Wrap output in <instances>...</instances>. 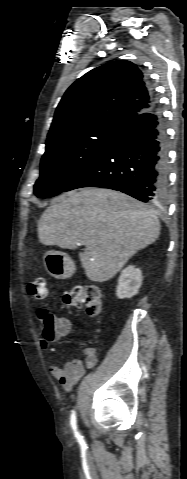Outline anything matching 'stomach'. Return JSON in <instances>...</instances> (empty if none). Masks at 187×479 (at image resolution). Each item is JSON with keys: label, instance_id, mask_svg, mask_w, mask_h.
<instances>
[{"label": "stomach", "instance_id": "0dacf381", "mask_svg": "<svg viewBox=\"0 0 187 479\" xmlns=\"http://www.w3.org/2000/svg\"><path fill=\"white\" fill-rule=\"evenodd\" d=\"M43 262L47 272L57 279H67L74 273V263L64 252L48 251Z\"/></svg>", "mask_w": 187, "mask_h": 479}]
</instances>
